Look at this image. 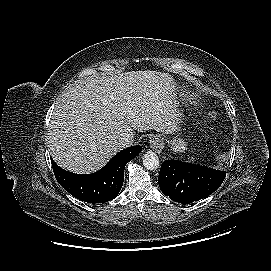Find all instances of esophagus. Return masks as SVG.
I'll use <instances>...</instances> for the list:
<instances>
[{"instance_id": "34e87169", "label": "esophagus", "mask_w": 271, "mask_h": 271, "mask_svg": "<svg viewBox=\"0 0 271 271\" xmlns=\"http://www.w3.org/2000/svg\"><path fill=\"white\" fill-rule=\"evenodd\" d=\"M149 144H150V148L155 150L156 152H160L163 148V143H162V139L160 138V136H153L149 140Z\"/></svg>"}]
</instances>
